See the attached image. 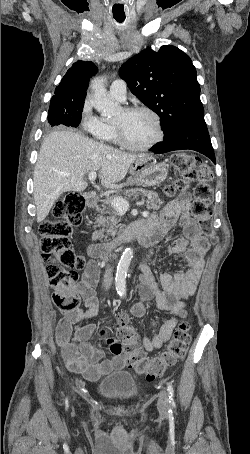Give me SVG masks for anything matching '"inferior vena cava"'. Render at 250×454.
<instances>
[{"mask_svg": "<svg viewBox=\"0 0 250 454\" xmlns=\"http://www.w3.org/2000/svg\"><path fill=\"white\" fill-rule=\"evenodd\" d=\"M113 280V273H112V268H107L104 274V279H103V286L105 290H108L111 286Z\"/></svg>", "mask_w": 250, "mask_h": 454, "instance_id": "1", "label": "inferior vena cava"}]
</instances>
